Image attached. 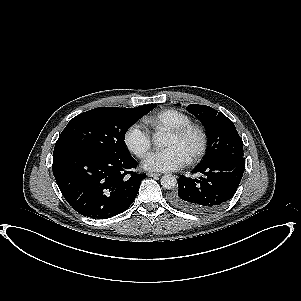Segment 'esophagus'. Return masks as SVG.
Returning <instances> with one entry per match:
<instances>
[{
    "label": "esophagus",
    "mask_w": 301,
    "mask_h": 301,
    "mask_svg": "<svg viewBox=\"0 0 301 301\" xmlns=\"http://www.w3.org/2000/svg\"><path fill=\"white\" fill-rule=\"evenodd\" d=\"M160 175H161L160 173H153V172L147 173L148 177H156V176H160Z\"/></svg>",
    "instance_id": "1"
}]
</instances>
